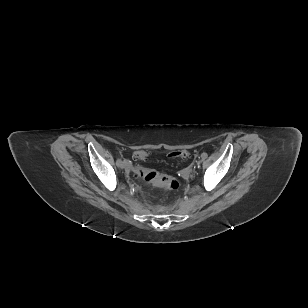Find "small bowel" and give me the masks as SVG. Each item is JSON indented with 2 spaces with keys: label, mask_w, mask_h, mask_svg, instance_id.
<instances>
[{
  "label": "small bowel",
  "mask_w": 308,
  "mask_h": 308,
  "mask_svg": "<svg viewBox=\"0 0 308 308\" xmlns=\"http://www.w3.org/2000/svg\"><path fill=\"white\" fill-rule=\"evenodd\" d=\"M127 164H128V168H130L131 167L130 163H127Z\"/></svg>",
  "instance_id": "obj_1"
}]
</instances>
